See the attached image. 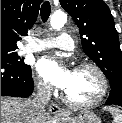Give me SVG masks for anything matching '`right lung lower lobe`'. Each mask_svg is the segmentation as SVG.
Here are the masks:
<instances>
[{
  "instance_id": "1",
  "label": "right lung lower lobe",
  "mask_w": 122,
  "mask_h": 123,
  "mask_svg": "<svg viewBox=\"0 0 122 123\" xmlns=\"http://www.w3.org/2000/svg\"><path fill=\"white\" fill-rule=\"evenodd\" d=\"M34 89L30 68H21L1 60V96L28 97Z\"/></svg>"
}]
</instances>
